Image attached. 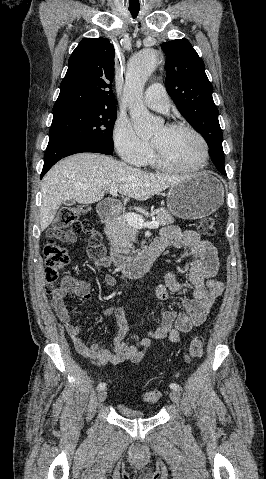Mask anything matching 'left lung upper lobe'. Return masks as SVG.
<instances>
[{"mask_svg": "<svg viewBox=\"0 0 266 479\" xmlns=\"http://www.w3.org/2000/svg\"><path fill=\"white\" fill-rule=\"evenodd\" d=\"M161 47L166 54L167 92L188 123L206 140L216 168L225 171L223 134L203 60L187 39L165 42Z\"/></svg>", "mask_w": 266, "mask_h": 479, "instance_id": "obj_1", "label": "left lung upper lobe"}]
</instances>
